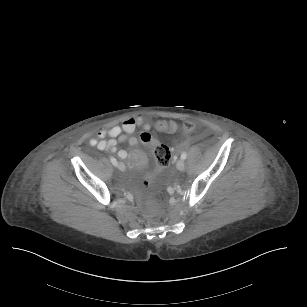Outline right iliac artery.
I'll use <instances>...</instances> for the list:
<instances>
[{
    "mask_svg": "<svg viewBox=\"0 0 307 307\" xmlns=\"http://www.w3.org/2000/svg\"><path fill=\"white\" fill-rule=\"evenodd\" d=\"M110 160L114 166L117 165V160L114 157H110Z\"/></svg>",
    "mask_w": 307,
    "mask_h": 307,
    "instance_id": "1",
    "label": "right iliac artery"
}]
</instances>
